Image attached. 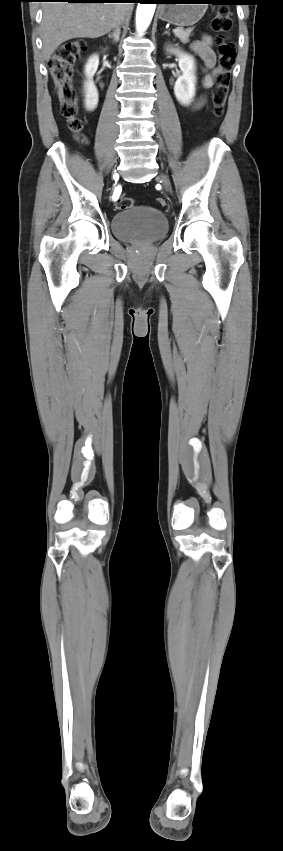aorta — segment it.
I'll list each match as a JSON object with an SVG mask.
<instances>
[{"mask_svg":"<svg viewBox=\"0 0 283 851\" xmlns=\"http://www.w3.org/2000/svg\"><path fill=\"white\" fill-rule=\"evenodd\" d=\"M156 4L154 3H138L136 10V27L139 32H144L155 12Z\"/></svg>","mask_w":283,"mask_h":851,"instance_id":"obj_1","label":"aorta"}]
</instances>
